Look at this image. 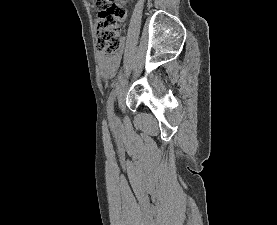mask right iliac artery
<instances>
[{"mask_svg": "<svg viewBox=\"0 0 277 225\" xmlns=\"http://www.w3.org/2000/svg\"><path fill=\"white\" fill-rule=\"evenodd\" d=\"M114 95H115V93L112 92V93L110 94L109 99H108V116H109V119H110L111 121H114V120H115V117H114V110H113Z\"/></svg>", "mask_w": 277, "mask_h": 225, "instance_id": "1", "label": "right iliac artery"}]
</instances>
